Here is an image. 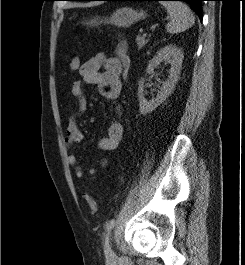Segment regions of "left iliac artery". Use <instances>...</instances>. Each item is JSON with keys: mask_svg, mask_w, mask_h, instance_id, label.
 <instances>
[{"mask_svg": "<svg viewBox=\"0 0 245 265\" xmlns=\"http://www.w3.org/2000/svg\"><path fill=\"white\" fill-rule=\"evenodd\" d=\"M114 226H115V220L114 219H112L109 222H107V224H106V232L109 233V231H111L114 228ZM106 247L109 248V246H107V244H106Z\"/></svg>", "mask_w": 245, "mask_h": 265, "instance_id": "44dca946", "label": "left iliac artery"}]
</instances>
